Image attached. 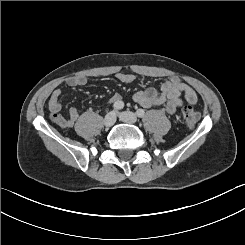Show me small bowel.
Here are the masks:
<instances>
[{
    "label": "small bowel",
    "instance_id": "obj_1",
    "mask_svg": "<svg viewBox=\"0 0 245 245\" xmlns=\"http://www.w3.org/2000/svg\"><path fill=\"white\" fill-rule=\"evenodd\" d=\"M116 78L122 83H131L135 80V75L120 72L116 74ZM86 82L87 79L84 76H72L66 80L69 87L82 86L85 85ZM61 93V89L57 88L51 94L48 102L50 119L61 128H72L79 117V112L75 107H70L66 117L61 114ZM182 94L189 104L194 105L197 103V94L190 85L179 77H171L162 83L160 91L149 87L137 91L133 95V99L136 103L145 108L165 106L166 112L172 115L183 105ZM109 101L114 105L116 102L121 101V96L114 94Z\"/></svg>",
    "mask_w": 245,
    "mask_h": 245
}]
</instances>
